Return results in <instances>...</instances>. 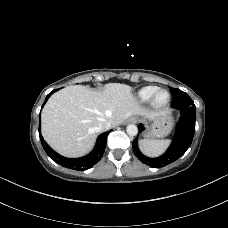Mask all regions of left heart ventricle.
Wrapping results in <instances>:
<instances>
[{
    "mask_svg": "<svg viewBox=\"0 0 228 228\" xmlns=\"http://www.w3.org/2000/svg\"><path fill=\"white\" fill-rule=\"evenodd\" d=\"M166 94L163 92V93H160L159 96H158V101L160 102H163L166 100Z\"/></svg>",
    "mask_w": 228,
    "mask_h": 228,
    "instance_id": "1",
    "label": "left heart ventricle"
}]
</instances>
